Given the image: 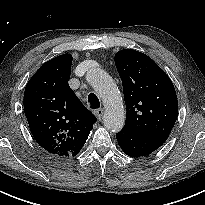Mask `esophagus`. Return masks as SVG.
<instances>
[{"label": "esophagus", "instance_id": "esophagus-1", "mask_svg": "<svg viewBox=\"0 0 205 205\" xmlns=\"http://www.w3.org/2000/svg\"><path fill=\"white\" fill-rule=\"evenodd\" d=\"M96 117L98 120H101L104 114V109L103 108H99L95 111Z\"/></svg>", "mask_w": 205, "mask_h": 205}]
</instances>
